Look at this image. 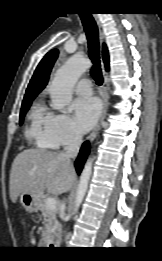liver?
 I'll use <instances>...</instances> for the list:
<instances>
[{"label":"liver","mask_w":162,"mask_h":261,"mask_svg":"<svg viewBox=\"0 0 162 261\" xmlns=\"http://www.w3.org/2000/svg\"><path fill=\"white\" fill-rule=\"evenodd\" d=\"M76 174L61 153L43 149H26L14 159L10 172V199L16 202L22 193L39 196L46 189L59 195L71 189Z\"/></svg>","instance_id":"liver-1"}]
</instances>
